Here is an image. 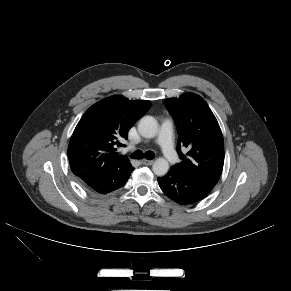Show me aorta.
Returning a JSON list of instances; mask_svg holds the SVG:
<instances>
[{"instance_id":"aorta-1","label":"aorta","mask_w":291,"mask_h":291,"mask_svg":"<svg viewBox=\"0 0 291 291\" xmlns=\"http://www.w3.org/2000/svg\"><path fill=\"white\" fill-rule=\"evenodd\" d=\"M138 131L144 138H153L158 132V123L152 116H144L138 124ZM153 172L157 176H164L169 170V163L164 158H157L153 163Z\"/></svg>"}]
</instances>
